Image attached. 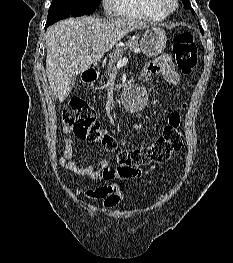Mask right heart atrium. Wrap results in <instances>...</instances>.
Returning a JSON list of instances; mask_svg holds the SVG:
<instances>
[{"instance_id":"1","label":"right heart atrium","mask_w":233,"mask_h":263,"mask_svg":"<svg viewBox=\"0 0 233 263\" xmlns=\"http://www.w3.org/2000/svg\"><path fill=\"white\" fill-rule=\"evenodd\" d=\"M104 7L107 11H111L113 10V1L114 0H102Z\"/></svg>"}]
</instances>
